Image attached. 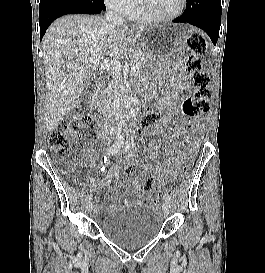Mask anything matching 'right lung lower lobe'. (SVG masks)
<instances>
[{
    "instance_id": "1",
    "label": "right lung lower lobe",
    "mask_w": 265,
    "mask_h": 273,
    "mask_svg": "<svg viewBox=\"0 0 265 273\" xmlns=\"http://www.w3.org/2000/svg\"><path fill=\"white\" fill-rule=\"evenodd\" d=\"M106 10L96 3H79L73 0H41L39 4L40 38L49 25L58 17L66 14H98Z\"/></svg>"
}]
</instances>
